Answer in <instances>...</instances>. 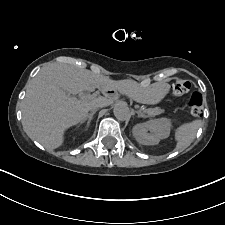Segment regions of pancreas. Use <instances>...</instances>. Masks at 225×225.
<instances>
[{"mask_svg":"<svg viewBox=\"0 0 225 225\" xmlns=\"http://www.w3.org/2000/svg\"><path fill=\"white\" fill-rule=\"evenodd\" d=\"M145 114L148 116V117H154L156 115H159L161 113L164 112L163 109L159 108V107H155V108H148V109H145Z\"/></svg>","mask_w":225,"mask_h":225,"instance_id":"1","label":"pancreas"}]
</instances>
